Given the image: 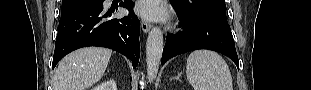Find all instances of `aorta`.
I'll return each instance as SVG.
<instances>
[{
  "label": "aorta",
  "instance_id": "aorta-1",
  "mask_svg": "<svg viewBox=\"0 0 311 90\" xmlns=\"http://www.w3.org/2000/svg\"><path fill=\"white\" fill-rule=\"evenodd\" d=\"M164 42L163 33L158 27L150 30L146 42L147 76L149 81L156 79L162 58Z\"/></svg>",
  "mask_w": 311,
  "mask_h": 90
}]
</instances>
